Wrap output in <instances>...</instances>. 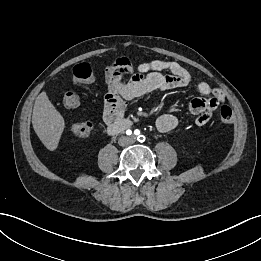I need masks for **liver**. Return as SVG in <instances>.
Listing matches in <instances>:
<instances>
[{"mask_svg": "<svg viewBox=\"0 0 261 261\" xmlns=\"http://www.w3.org/2000/svg\"><path fill=\"white\" fill-rule=\"evenodd\" d=\"M32 125L44 146L50 151L55 150L65 128V122L44 91L35 100Z\"/></svg>", "mask_w": 261, "mask_h": 261, "instance_id": "obj_1", "label": "liver"}]
</instances>
